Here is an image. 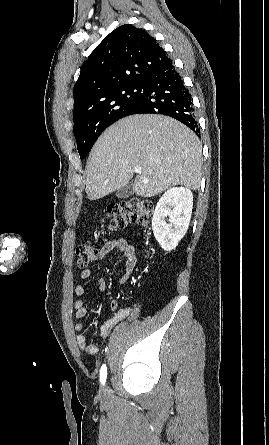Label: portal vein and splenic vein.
Listing matches in <instances>:
<instances>
[{
    "label": "portal vein and splenic vein",
    "instance_id": "obj_1",
    "mask_svg": "<svg viewBox=\"0 0 269 445\" xmlns=\"http://www.w3.org/2000/svg\"><path fill=\"white\" fill-rule=\"evenodd\" d=\"M134 171H135L136 173H141V167H135V168H134Z\"/></svg>",
    "mask_w": 269,
    "mask_h": 445
}]
</instances>
